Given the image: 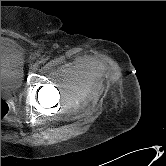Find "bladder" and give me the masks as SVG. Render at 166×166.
<instances>
[{
  "mask_svg": "<svg viewBox=\"0 0 166 166\" xmlns=\"http://www.w3.org/2000/svg\"><path fill=\"white\" fill-rule=\"evenodd\" d=\"M24 80V61L18 43L1 37V91H15Z\"/></svg>",
  "mask_w": 166,
  "mask_h": 166,
  "instance_id": "31cf9c89",
  "label": "bladder"
}]
</instances>
